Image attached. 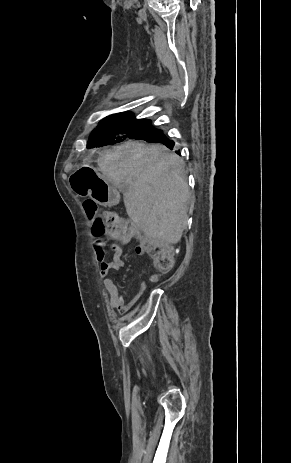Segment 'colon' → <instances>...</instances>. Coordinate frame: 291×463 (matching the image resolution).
<instances>
[{"mask_svg":"<svg viewBox=\"0 0 291 463\" xmlns=\"http://www.w3.org/2000/svg\"><path fill=\"white\" fill-rule=\"evenodd\" d=\"M84 209L92 222V234L99 243H104L107 236L116 239H135L141 251L147 252L154 266L160 272H168L174 265V250L141 232L129 219L121 217L118 213L101 210L96 202L87 199L83 203Z\"/></svg>","mask_w":291,"mask_h":463,"instance_id":"obj_1","label":"colon"}]
</instances>
